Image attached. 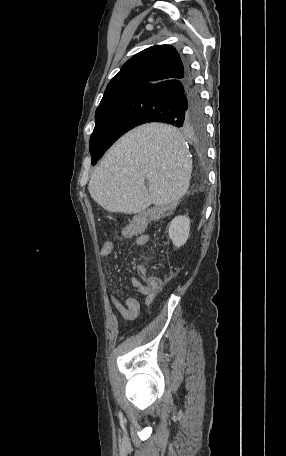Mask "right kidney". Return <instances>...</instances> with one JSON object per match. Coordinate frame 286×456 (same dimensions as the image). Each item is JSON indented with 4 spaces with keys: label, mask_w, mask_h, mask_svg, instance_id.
I'll return each instance as SVG.
<instances>
[{
    "label": "right kidney",
    "mask_w": 286,
    "mask_h": 456,
    "mask_svg": "<svg viewBox=\"0 0 286 456\" xmlns=\"http://www.w3.org/2000/svg\"><path fill=\"white\" fill-rule=\"evenodd\" d=\"M190 219L187 216L175 217L169 225V237L174 246L184 245L189 237Z\"/></svg>",
    "instance_id": "1"
}]
</instances>
